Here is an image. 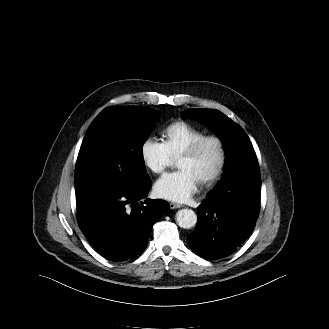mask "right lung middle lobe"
Returning a JSON list of instances; mask_svg holds the SVG:
<instances>
[{
    "mask_svg": "<svg viewBox=\"0 0 329 329\" xmlns=\"http://www.w3.org/2000/svg\"><path fill=\"white\" fill-rule=\"evenodd\" d=\"M158 111L149 107L105 108L91 123L75 171V191L105 183L139 190L150 182L142 146Z\"/></svg>",
    "mask_w": 329,
    "mask_h": 329,
    "instance_id": "right-lung-middle-lobe-1",
    "label": "right lung middle lobe"
}]
</instances>
